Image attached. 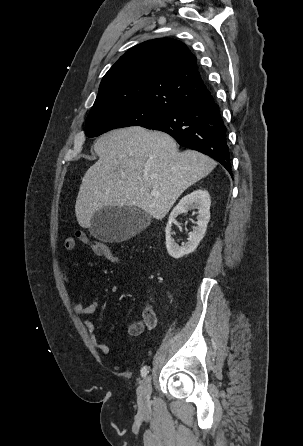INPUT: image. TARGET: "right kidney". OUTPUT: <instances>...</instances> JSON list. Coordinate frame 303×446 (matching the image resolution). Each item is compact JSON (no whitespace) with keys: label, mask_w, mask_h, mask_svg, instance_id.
<instances>
[{"label":"right kidney","mask_w":303,"mask_h":446,"mask_svg":"<svg viewBox=\"0 0 303 446\" xmlns=\"http://www.w3.org/2000/svg\"><path fill=\"white\" fill-rule=\"evenodd\" d=\"M211 200L206 190L198 189L184 196L172 210L169 221L166 226V248L169 255L179 259L195 251L200 241L203 239L207 224L210 220ZM198 209L197 226L189 233L188 241L179 246L171 237V226L175 218L181 213H187L188 210Z\"/></svg>","instance_id":"ca27d5eb"}]
</instances>
